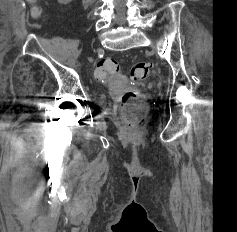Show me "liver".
<instances>
[{"mask_svg":"<svg viewBox=\"0 0 237 232\" xmlns=\"http://www.w3.org/2000/svg\"><path fill=\"white\" fill-rule=\"evenodd\" d=\"M28 2H36L37 0H27Z\"/></svg>","mask_w":237,"mask_h":232,"instance_id":"liver-1","label":"liver"}]
</instances>
